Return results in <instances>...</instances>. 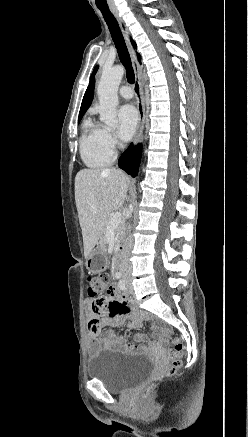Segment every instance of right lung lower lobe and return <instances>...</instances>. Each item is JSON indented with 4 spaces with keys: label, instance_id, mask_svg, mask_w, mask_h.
I'll return each instance as SVG.
<instances>
[{
    "label": "right lung lower lobe",
    "instance_id": "98d812e1",
    "mask_svg": "<svg viewBox=\"0 0 248 437\" xmlns=\"http://www.w3.org/2000/svg\"><path fill=\"white\" fill-rule=\"evenodd\" d=\"M141 152V144H138L135 147H133V145L131 144L128 149L121 155L118 163L119 167L132 177H135L138 173Z\"/></svg>",
    "mask_w": 248,
    "mask_h": 437
}]
</instances>
